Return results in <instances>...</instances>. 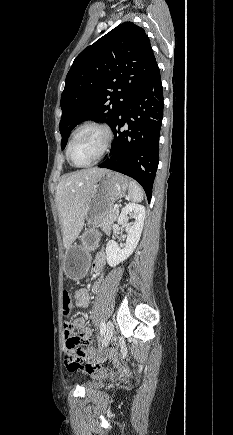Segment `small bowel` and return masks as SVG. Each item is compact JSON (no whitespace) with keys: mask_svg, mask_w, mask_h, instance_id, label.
I'll list each match as a JSON object with an SVG mask.
<instances>
[{"mask_svg":"<svg viewBox=\"0 0 233 435\" xmlns=\"http://www.w3.org/2000/svg\"><path fill=\"white\" fill-rule=\"evenodd\" d=\"M105 270V255L104 253L100 252L97 254L92 268H91V275L95 279L94 283L92 284L91 290L93 292H97L102 285L104 278H103V272ZM98 277V278H97ZM90 290L88 288H80L78 289L74 294V301L77 307L79 308H85L88 306L90 302ZM66 324H73L80 328L82 333V338L87 343V345L82 349L83 356L85 357L88 354H91V349L89 348V344L91 342L92 337V329L86 324V319L83 317H76L71 322H65ZM76 372H86L90 373L92 375L99 373V371L92 370L90 372L86 371L84 368H80L76 370Z\"/></svg>","mask_w":233,"mask_h":435,"instance_id":"c3829d8e","label":"small bowel"}]
</instances>
